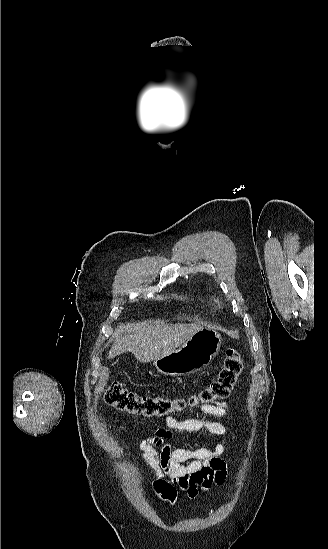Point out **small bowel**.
Instances as JSON below:
<instances>
[{
    "label": "small bowel",
    "mask_w": 328,
    "mask_h": 549,
    "mask_svg": "<svg viewBox=\"0 0 328 549\" xmlns=\"http://www.w3.org/2000/svg\"><path fill=\"white\" fill-rule=\"evenodd\" d=\"M197 409L205 415L226 418L230 404L218 402L212 405H200ZM172 431L200 432L206 431L218 436L219 442L214 448L198 447L195 449L172 448L167 442ZM226 427L222 422L199 418L178 420L174 416L166 418V427L156 429L139 442V457L159 479H168L171 483L186 489L193 497L199 489H207L213 484L224 482L227 464L222 458L225 451Z\"/></svg>",
    "instance_id": "obj_1"
}]
</instances>
